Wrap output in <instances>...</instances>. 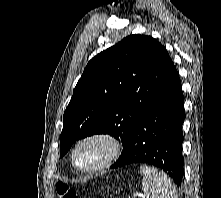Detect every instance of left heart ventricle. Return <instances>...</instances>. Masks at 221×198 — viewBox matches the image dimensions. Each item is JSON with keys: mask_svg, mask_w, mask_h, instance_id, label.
<instances>
[{"mask_svg": "<svg viewBox=\"0 0 221 198\" xmlns=\"http://www.w3.org/2000/svg\"><path fill=\"white\" fill-rule=\"evenodd\" d=\"M106 154V146L101 142H89L81 145L76 152V163L81 167L97 165Z\"/></svg>", "mask_w": 221, "mask_h": 198, "instance_id": "obj_1", "label": "left heart ventricle"}]
</instances>
